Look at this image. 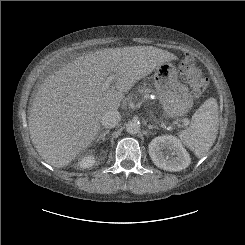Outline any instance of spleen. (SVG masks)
<instances>
[{
	"instance_id": "1",
	"label": "spleen",
	"mask_w": 245,
	"mask_h": 245,
	"mask_svg": "<svg viewBox=\"0 0 245 245\" xmlns=\"http://www.w3.org/2000/svg\"><path fill=\"white\" fill-rule=\"evenodd\" d=\"M218 125V104L215 98H209L194 113L191 125L179 133V140L203 157L215 142Z\"/></svg>"
}]
</instances>
